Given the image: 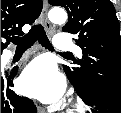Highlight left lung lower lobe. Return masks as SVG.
<instances>
[{
  "label": "left lung lower lobe",
  "mask_w": 121,
  "mask_h": 113,
  "mask_svg": "<svg viewBox=\"0 0 121 113\" xmlns=\"http://www.w3.org/2000/svg\"><path fill=\"white\" fill-rule=\"evenodd\" d=\"M73 86L89 106L88 113H121V96L108 88L97 83Z\"/></svg>",
  "instance_id": "0a47b994"
}]
</instances>
